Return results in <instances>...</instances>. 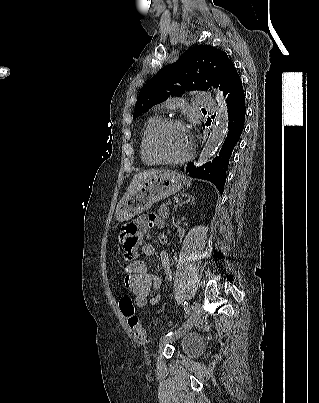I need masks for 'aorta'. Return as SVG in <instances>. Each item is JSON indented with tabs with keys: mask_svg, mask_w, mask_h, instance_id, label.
Masks as SVG:
<instances>
[{
	"mask_svg": "<svg viewBox=\"0 0 319 403\" xmlns=\"http://www.w3.org/2000/svg\"><path fill=\"white\" fill-rule=\"evenodd\" d=\"M215 94L218 102L216 124L213 126L208 140L199 154L197 166L205 164L215 154L227 136L228 109L226 101L223 94L218 89L215 90Z\"/></svg>",
	"mask_w": 319,
	"mask_h": 403,
	"instance_id": "762f6f07",
	"label": "aorta"
}]
</instances>
